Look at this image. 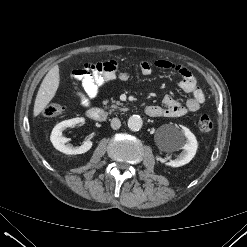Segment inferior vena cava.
<instances>
[{
    "label": "inferior vena cava",
    "instance_id": "inferior-vena-cava-1",
    "mask_svg": "<svg viewBox=\"0 0 247 247\" xmlns=\"http://www.w3.org/2000/svg\"><path fill=\"white\" fill-rule=\"evenodd\" d=\"M120 126H121V122H120V120L118 118H113L111 120V127H112V129L117 130V129L120 128Z\"/></svg>",
    "mask_w": 247,
    "mask_h": 247
}]
</instances>
